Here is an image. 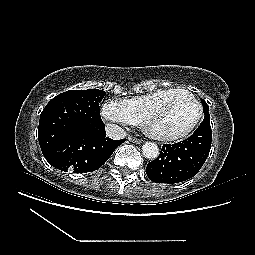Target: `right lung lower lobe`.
Here are the masks:
<instances>
[{
  "instance_id": "obj_1",
  "label": "right lung lower lobe",
  "mask_w": 255,
  "mask_h": 255,
  "mask_svg": "<svg viewBox=\"0 0 255 255\" xmlns=\"http://www.w3.org/2000/svg\"><path fill=\"white\" fill-rule=\"evenodd\" d=\"M126 139L106 137L105 125L72 129L42 152L49 164L61 171L85 173L100 168Z\"/></svg>"
}]
</instances>
